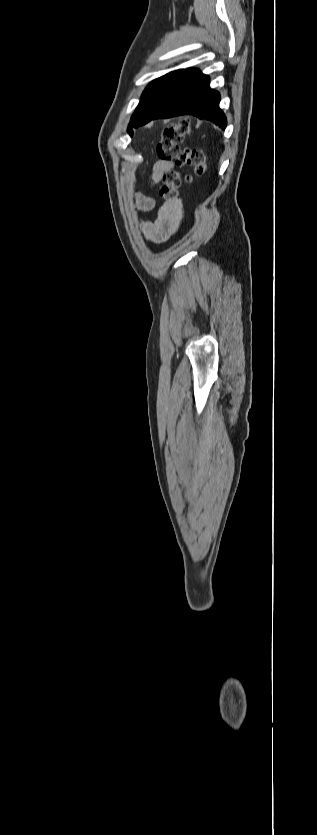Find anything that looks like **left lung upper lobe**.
Here are the masks:
<instances>
[{
	"instance_id": "obj_1",
	"label": "left lung upper lobe",
	"mask_w": 317,
	"mask_h": 835,
	"mask_svg": "<svg viewBox=\"0 0 317 835\" xmlns=\"http://www.w3.org/2000/svg\"><path fill=\"white\" fill-rule=\"evenodd\" d=\"M183 72L184 70L170 72L155 79L146 87L128 125L127 131L130 136L133 135V128L143 125L162 106Z\"/></svg>"
}]
</instances>
